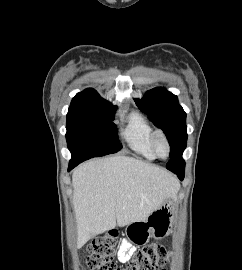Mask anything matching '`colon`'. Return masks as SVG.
Here are the masks:
<instances>
[{
  "label": "colon",
  "instance_id": "obj_1",
  "mask_svg": "<svg viewBox=\"0 0 242 270\" xmlns=\"http://www.w3.org/2000/svg\"><path fill=\"white\" fill-rule=\"evenodd\" d=\"M118 245V232H110L99 237L89 248L86 258L88 267L92 270H157L167 263L168 249L163 245L151 244L138 251L133 260L120 268L113 261V255Z\"/></svg>",
  "mask_w": 242,
  "mask_h": 270
}]
</instances>
